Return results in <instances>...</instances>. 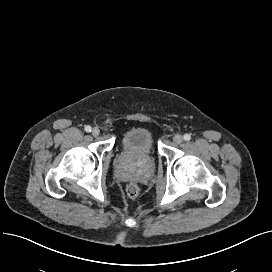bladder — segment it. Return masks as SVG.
<instances>
[{
    "label": "bladder",
    "instance_id": "1",
    "mask_svg": "<svg viewBox=\"0 0 272 272\" xmlns=\"http://www.w3.org/2000/svg\"><path fill=\"white\" fill-rule=\"evenodd\" d=\"M121 143L125 150L150 154L155 150L154 132L148 127L136 126L123 134Z\"/></svg>",
    "mask_w": 272,
    "mask_h": 272
}]
</instances>
